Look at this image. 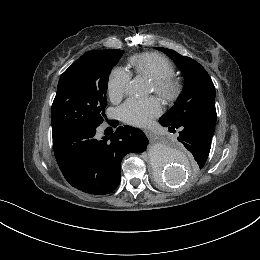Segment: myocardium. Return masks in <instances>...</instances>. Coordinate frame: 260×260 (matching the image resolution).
Instances as JSON below:
<instances>
[{
    "mask_svg": "<svg viewBox=\"0 0 260 260\" xmlns=\"http://www.w3.org/2000/svg\"><path fill=\"white\" fill-rule=\"evenodd\" d=\"M153 89L159 97L166 101H171L180 93L181 83L177 78L168 76L153 80Z\"/></svg>",
    "mask_w": 260,
    "mask_h": 260,
    "instance_id": "1",
    "label": "myocardium"
}]
</instances>
